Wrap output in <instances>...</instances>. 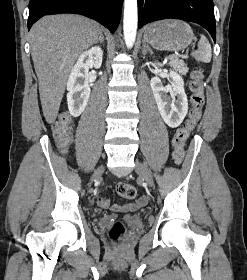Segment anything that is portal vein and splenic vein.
Here are the masks:
<instances>
[{"label":"portal vein and splenic vein","mask_w":247,"mask_h":280,"mask_svg":"<svg viewBox=\"0 0 247 280\" xmlns=\"http://www.w3.org/2000/svg\"><path fill=\"white\" fill-rule=\"evenodd\" d=\"M178 56H177V54H172V55H170L168 58L170 59V60H172V59H175V58H177Z\"/></svg>","instance_id":"portal-vein-and-splenic-vein-1"}]
</instances>
